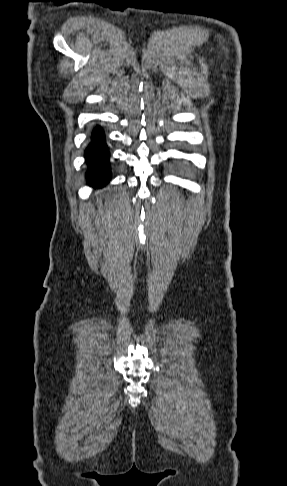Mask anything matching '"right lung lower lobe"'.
I'll return each instance as SVG.
<instances>
[{"mask_svg":"<svg viewBox=\"0 0 287 486\" xmlns=\"http://www.w3.org/2000/svg\"><path fill=\"white\" fill-rule=\"evenodd\" d=\"M85 158L89 167L87 172L89 185L100 187L106 184L110 179L109 153L103 132L99 127L92 133V141L85 151Z\"/></svg>","mask_w":287,"mask_h":486,"instance_id":"obj_1","label":"right lung lower lobe"}]
</instances>
